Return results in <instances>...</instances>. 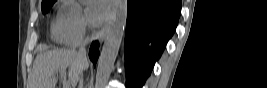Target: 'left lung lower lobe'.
<instances>
[{"label": "left lung lower lobe", "mask_w": 267, "mask_h": 88, "mask_svg": "<svg viewBox=\"0 0 267 88\" xmlns=\"http://www.w3.org/2000/svg\"><path fill=\"white\" fill-rule=\"evenodd\" d=\"M181 0H128L125 34L127 88H141L175 32Z\"/></svg>", "instance_id": "obj_1"}]
</instances>
